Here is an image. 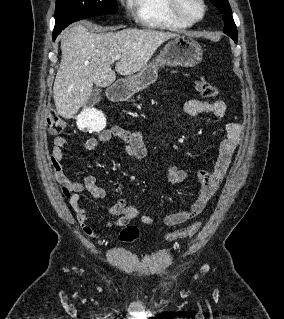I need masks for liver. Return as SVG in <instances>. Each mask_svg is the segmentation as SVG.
Here are the masks:
<instances>
[{
    "instance_id": "6515ba94",
    "label": "liver",
    "mask_w": 284,
    "mask_h": 319,
    "mask_svg": "<svg viewBox=\"0 0 284 319\" xmlns=\"http://www.w3.org/2000/svg\"><path fill=\"white\" fill-rule=\"evenodd\" d=\"M105 31V30H104ZM92 33L82 24L68 28L61 36L62 58L53 97L58 114L72 118L93 92V84L107 87L116 80L115 71L130 77L143 69L157 48L175 38V33L123 29ZM118 56L115 71L112 58Z\"/></svg>"
}]
</instances>
